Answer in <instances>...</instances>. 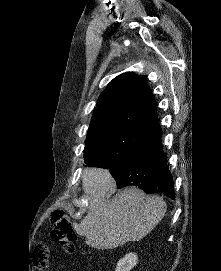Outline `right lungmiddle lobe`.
Listing matches in <instances>:
<instances>
[{
	"label": "right lung middle lobe",
	"mask_w": 221,
	"mask_h": 271,
	"mask_svg": "<svg viewBox=\"0 0 221 271\" xmlns=\"http://www.w3.org/2000/svg\"><path fill=\"white\" fill-rule=\"evenodd\" d=\"M148 131L133 128H104L87 134L84 162L89 167L109 168L129 155Z\"/></svg>",
	"instance_id": "dd1d6c3e"
}]
</instances>
